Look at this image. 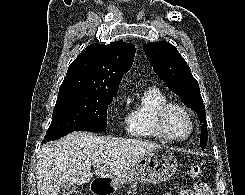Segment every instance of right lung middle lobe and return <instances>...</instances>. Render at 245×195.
<instances>
[{"label":"right lung middle lobe","mask_w":245,"mask_h":195,"mask_svg":"<svg viewBox=\"0 0 245 195\" xmlns=\"http://www.w3.org/2000/svg\"><path fill=\"white\" fill-rule=\"evenodd\" d=\"M115 95L98 91L59 93L42 143L88 127H107V108Z\"/></svg>","instance_id":"dd1d6c3e"}]
</instances>
